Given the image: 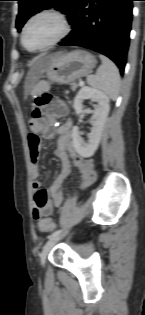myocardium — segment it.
Returning <instances> with one entry per match:
<instances>
[{
  "label": "myocardium",
  "mask_w": 145,
  "mask_h": 315,
  "mask_svg": "<svg viewBox=\"0 0 145 315\" xmlns=\"http://www.w3.org/2000/svg\"><path fill=\"white\" fill-rule=\"evenodd\" d=\"M39 17H51V18L55 19L59 24L60 30H59V33L52 40L47 42L46 44H44L40 47H37V48H30L26 45L25 33H26V30H27L29 24L33 20H35ZM69 30H70V27H69L68 20L63 13H61L57 10H54V9L41 10V11H38V12L32 14L24 23L22 30H21V43H22L23 47L30 52L43 51V50L49 49L50 47H52V46L56 45L57 43H59L60 41H62L68 35Z\"/></svg>",
  "instance_id": "myocardium-1"
}]
</instances>
